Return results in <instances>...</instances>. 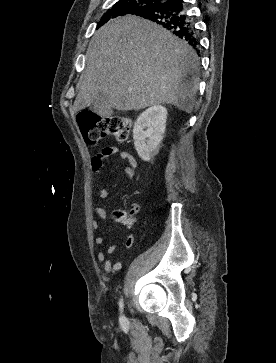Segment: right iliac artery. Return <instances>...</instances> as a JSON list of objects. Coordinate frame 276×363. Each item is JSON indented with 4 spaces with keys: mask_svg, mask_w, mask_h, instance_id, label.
<instances>
[{
    "mask_svg": "<svg viewBox=\"0 0 276 363\" xmlns=\"http://www.w3.org/2000/svg\"><path fill=\"white\" fill-rule=\"evenodd\" d=\"M123 307H124L123 297L121 296V298H120V300H119V308H120V311H121V312L123 311Z\"/></svg>",
    "mask_w": 276,
    "mask_h": 363,
    "instance_id": "right-iliac-artery-1",
    "label": "right iliac artery"
}]
</instances>
